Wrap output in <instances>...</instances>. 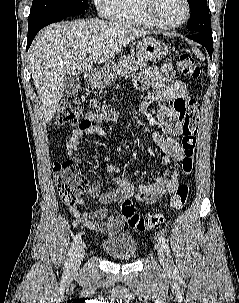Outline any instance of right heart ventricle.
Wrapping results in <instances>:
<instances>
[{
  "label": "right heart ventricle",
  "instance_id": "e07e8e85",
  "mask_svg": "<svg viewBox=\"0 0 239 303\" xmlns=\"http://www.w3.org/2000/svg\"><path fill=\"white\" fill-rule=\"evenodd\" d=\"M112 18L118 22L143 28L154 27L143 14L140 0H117Z\"/></svg>",
  "mask_w": 239,
  "mask_h": 303
}]
</instances>
